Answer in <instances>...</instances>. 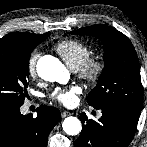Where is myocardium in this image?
<instances>
[{
  "label": "myocardium",
  "mask_w": 147,
  "mask_h": 147,
  "mask_svg": "<svg viewBox=\"0 0 147 147\" xmlns=\"http://www.w3.org/2000/svg\"><path fill=\"white\" fill-rule=\"evenodd\" d=\"M105 65V59L102 54H90L77 71L81 78L89 82H96L101 78Z\"/></svg>",
  "instance_id": "myocardium-1"
}]
</instances>
